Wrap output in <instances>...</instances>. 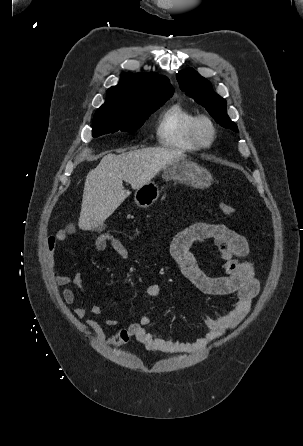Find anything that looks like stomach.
<instances>
[{"instance_id":"0dacf381","label":"stomach","mask_w":303,"mask_h":446,"mask_svg":"<svg viewBox=\"0 0 303 446\" xmlns=\"http://www.w3.org/2000/svg\"><path fill=\"white\" fill-rule=\"evenodd\" d=\"M162 171L163 179L186 183L194 188L204 189L212 181L209 171L185 157L173 161ZM159 194L157 185L150 181L136 190L134 200L137 206L147 208L158 199Z\"/></svg>"}]
</instances>
